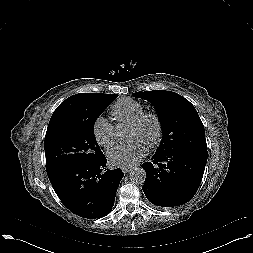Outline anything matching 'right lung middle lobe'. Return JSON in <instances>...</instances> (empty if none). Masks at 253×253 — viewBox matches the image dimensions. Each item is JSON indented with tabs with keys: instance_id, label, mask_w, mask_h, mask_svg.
I'll return each mask as SVG.
<instances>
[{
	"instance_id": "obj_1",
	"label": "right lung middle lobe",
	"mask_w": 253,
	"mask_h": 253,
	"mask_svg": "<svg viewBox=\"0 0 253 253\" xmlns=\"http://www.w3.org/2000/svg\"><path fill=\"white\" fill-rule=\"evenodd\" d=\"M116 97L114 94L99 101L86 112L50 119L44 142L47 174L104 157L96 142L94 124Z\"/></svg>"
}]
</instances>
